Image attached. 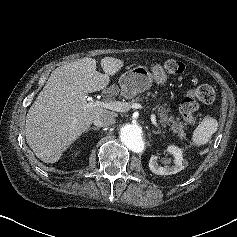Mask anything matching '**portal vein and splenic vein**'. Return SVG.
Wrapping results in <instances>:
<instances>
[{"mask_svg": "<svg viewBox=\"0 0 237 237\" xmlns=\"http://www.w3.org/2000/svg\"><path fill=\"white\" fill-rule=\"evenodd\" d=\"M93 104L96 106H100V107L107 108L109 110H113V111H117V112H127L131 108L132 109H139V110L143 109V106L139 103H133V104L129 105L128 103L119 102V101H115V102L96 101ZM150 120L154 126L159 127L157 120H156V115L154 113L151 114Z\"/></svg>", "mask_w": 237, "mask_h": 237, "instance_id": "18ae733b", "label": "portal vein and splenic vein"}]
</instances>
